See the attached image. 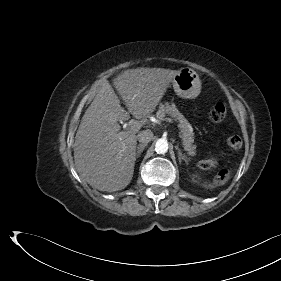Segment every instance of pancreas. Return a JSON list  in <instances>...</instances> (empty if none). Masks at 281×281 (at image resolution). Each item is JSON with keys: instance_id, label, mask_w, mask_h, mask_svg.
Returning <instances> with one entry per match:
<instances>
[{"instance_id": "obj_1", "label": "pancreas", "mask_w": 281, "mask_h": 281, "mask_svg": "<svg viewBox=\"0 0 281 281\" xmlns=\"http://www.w3.org/2000/svg\"><path fill=\"white\" fill-rule=\"evenodd\" d=\"M169 115L174 118L175 121L179 122L178 127L180 129V137L184 149L187 151L188 155H196V145H194V134L192 133V127L188 120L179 112L175 104L171 105L166 102L165 104H160L158 111L156 112V117L159 120H164L165 116Z\"/></svg>"}]
</instances>
